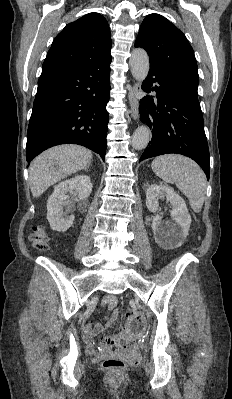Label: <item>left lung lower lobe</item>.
Listing matches in <instances>:
<instances>
[{"mask_svg":"<svg viewBox=\"0 0 232 399\" xmlns=\"http://www.w3.org/2000/svg\"><path fill=\"white\" fill-rule=\"evenodd\" d=\"M142 89L155 91L156 96L147 95L140 101V119L152 130V141L140 161L167 153L182 154L195 160L209 180L210 155L201 110L156 69L150 68Z\"/></svg>","mask_w":232,"mask_h":399,"instance_id":"left-lung-lower-lobe-1","label":"left lung lower lobe"}]
</instances>
